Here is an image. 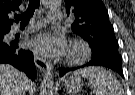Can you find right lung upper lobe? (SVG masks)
<instances>
[{"instance_id":"1","label":"right lung upper lobe","mask_w":135,"mask_h":95,"mask_svg":"<svg viewBox=\"0 0 135 95\" xmlns=\"http://www.w3.org/2000/svg\"><path fill=\"white\" fill-rule=\"evenodd\" d=\"M22 0H0V31L10 30V15L19 10Z\"/></svg>"}]
</instances>
